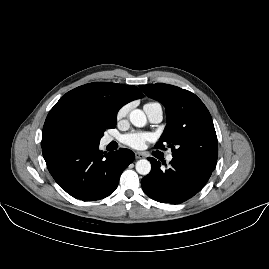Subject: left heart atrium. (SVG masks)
I'll list each match as a JSON object with an SVG mask.
<instances>
[{
	"label": "left heart atrium",
	"instance_id": "39dd6f15",
	"mask_svg": "<svg viewBox=\"0 0 269 269\" xmlns=\"http://www.w3.org/2000/svg\"><path fill=\"white\" fill-rule=\"evenodd\" d=\"M153 137L144 133H129L123 137V143L133 149H142Z\"/></svg>",
	"mask_w": 269,
	"mask_h": 269
}]
</instances>
